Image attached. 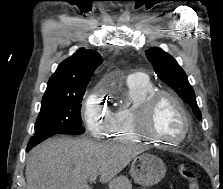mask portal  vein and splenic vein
Wrapping results in <instances>:
<instances>
[{
  "mask_svg": "<svg viewBox=\"0 0 223 189\" xmlns=\"http://www.w3.org/2000/svg\"><path fill=\"white\" fill-rule=\"evenodd\" d=\"M97 178V174H94L90 177V182H94Z\"/></svg>",
  "mask_w": 223,
  "mask_h": 189,
  "instance_id": "18ae733b",
  "label": "portal vein and splenic vein"
}]
</instances>
